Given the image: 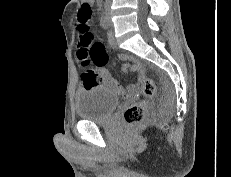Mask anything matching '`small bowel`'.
I'll return each mask as SVG.
<instances>
[{
  "mask_svg": "<svg viewBox=\"0 0 231 177\" xmlns=\"http://www.w3.org/2000/svg\"><path fill=\"white\" fill-rule=\"evenodd\" d=\"M95 0H85V2L83 4H91L93 3ZM82 4V5H83ZM106 42L110 45V46H114L115 42H114V36L112 33H108L106 36ZM119 58L121 60H131L133 63L132 64H123L122 66V71L123 72H128V71H132V72H136L139 75V80L136 83L131 84L130 86H128L126 89H124L120 83L113 78L110 73L102 66H98V70L96 71V73L98 74V80L96 83H87L85 81V79L82 77L83 79V83L85 86H93V85H98V84H103L113 90H115L116 92L123 94V95H131L133 93L136 92L139 83L141 82V80L144 77V73H145V69L144 66L132 59L130 56L126 55V54H121L119 56Z\"/></svg>",
  "mask_w": 231,
  "mask_h": 177,
  "instance_id": "obj_1",
  "label": "small bowel"
}]
</instances>
